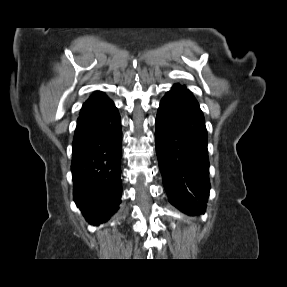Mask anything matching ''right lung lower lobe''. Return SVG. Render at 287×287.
<instances>
[{
	"label": "right lung lower lobe",
	"mask_w": 287,
	"mask_h": 287,
	"mask_svg": "<svg viewBox=\"0 0 287 287\" xmlns=\"http://www.w3.org/2000/svg\"><path fill=\"white\" fill-rule=\"evenodd\" d=\"M121 145V120L111 100L80 112L73 139V196L90 224L99 225L118 210Z\"/></svg>",
	"instance_id": "98d812e1"
}]
</instances>
